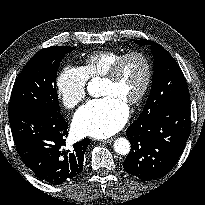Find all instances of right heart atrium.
Here are the masks:
<instances>
[{"instance_id": "right-heart-atrium-1", "label": "right heart atrium", "mask_w": 205, "mask_h": 205, "mask_svg": "<svg viewBox=\"0 0 205 205\" xmlns=\"http://www.w3.org/2000/svg\"><path fill=\"white\" fill-rule=\"evenodd\" d=\"M87 78L81 68L67 65L55 82L56 95L64 107L73 109L85 98Z\"/></svg>"}]
</instances>
